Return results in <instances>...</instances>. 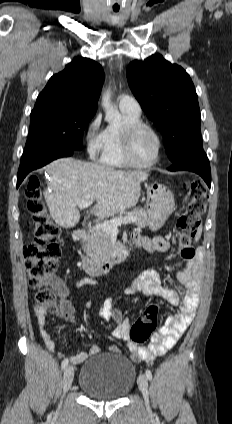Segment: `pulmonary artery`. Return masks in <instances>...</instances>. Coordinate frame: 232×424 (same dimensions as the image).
<instances>
[{
    "label": "pulmonary artery",
    "mask_w": 232,
    "mask_h": 424,
    "mask_svg": "<svg viewBox=\"0 0 232 424\" xmlns=\"http://www.w3.org/2000/svg\"><path fill=\"white\" fill-rule=\"evenodd\" d=\"M118 106L121 111L131 112L133 114H141V106L138 101L129 95H121L118 98Z\"/></svg>",
    "instance_id": "e3ab8cb5"
}]
</instances>
